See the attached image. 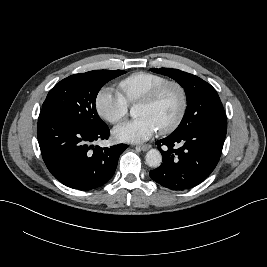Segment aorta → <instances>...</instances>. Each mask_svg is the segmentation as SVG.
I'll return each mask as SVG.
<instances>
[{
	"mask_svg": "<svg viewBox=\"0 0 267 267\" xmlns=\"http://www.w3.org/2000/svg\"><path fill=\"white\" fill-rule=\"evenodd\" d=\"M146 164L151 168H158L162 162V155L157 149H150L145 156Z\"/></svg>",
	"mask_w": 267,
	"mask_h": 267,
	"instance_id": "obj_1",
	"label": "aorta"
}]
</instances>
